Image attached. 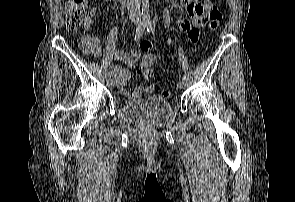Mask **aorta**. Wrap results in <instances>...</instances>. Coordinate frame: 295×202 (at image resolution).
<instances>
[{
    "mask_svg": "<svg viewBox=\"0 0 295 202\" xmlns=\"http://www.w3.org/2000/svg\"><path fill=\"white\" fill-rule=\"evenodd\" d=\"M141 16H142L144 19H149V18H150L149 0H143V1H142Z\"/></svg>",
    "mask_w": 295,
    "mask_h": 202,
    "instance_id": "762f6f07",
    "label": "aorta"
}]
</instances>
